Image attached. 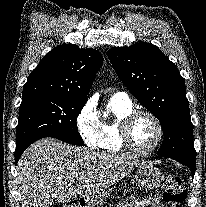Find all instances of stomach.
Segmentation results:
<instances>
[{"label": "stomach", "mask_w": 206, "mask_h": 207, "mask_svg": "<svg viewBox=\"0 0 206 207\" xmlns=\"http://www.w3.org/2000/svg\"><path fill=\"white\" fill-rule=\"evenodd\" d=\"M138 186L145 190L157 189L164 180L163 173L152 163L140 162L135 170Z\"/></svg>", "instance_id": "1"}]
</instances>
